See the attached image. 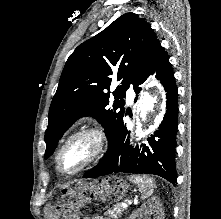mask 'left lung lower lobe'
Wrapping results in <instances>:
<instances>
[{
  "instance_id": "left-lung-lower-lobe-1",
  "label": "left lung lower lobe",
  "mask_w": 221,
  "mask_h": 219,
  "mask_svg": "<svg viewBox=\"0 0 221 219\" xmlns=\"http://www.w3.org/2000/svg\"><path fill=\"white\" fill-rule=\"evenodd\" d=\"M156 73L166 91V113L158 130L148 138L149 143L133 148L129 146V132L123 118L108 141V150L101 161L88 171L83 178H94L112 173L154 174L175 185V147L178 121V94L173 70L169 59L160 45L141 81ZM141 88L135 90L139 93ZM126 115V114H125ZM124 115V116H125ZM128 135V136H127Z\"/></svg>"
}]
</instances>
